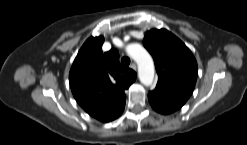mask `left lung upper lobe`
Returning a JSON list of instances; mask_svg holds the SVG:
<instances>
[{
    "label": "left lung upper lobe",
    "instance_id": "obj_1",
    "mask_svg": "<svg viewBox=\"0 0 247 145\" xmlns=\"http://www.w3.org/2000/svg\"><path fill=\"white\" fill-rule=\"evenodd\" d=\"M143 44L154 59L158 73L156 88L188 99L198 74L192 52L166 29L150 30L145 34Z\"/></svg>",
    "mask_w": 247,
    "mask_h": 145
}]
</instances>
